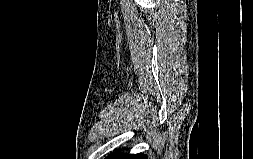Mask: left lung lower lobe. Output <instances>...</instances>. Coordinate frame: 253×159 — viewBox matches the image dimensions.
<instances>
[{"instance_id": "0a47b994", "label": "left lung lower lobe", "mask_w": 253, "mask_h": 159, "mask_svg": "<svg viewBox=\"0 0 253 159\" xmlns=\"http://www.w3.org/2000/svg\"><path fill=\"white\" fill-rule=\"evenodd\" d=\"M106 159H147V157L145 155L142 154H122V153H114L108 157H106Z\"/></svg>"}]
</instances>
